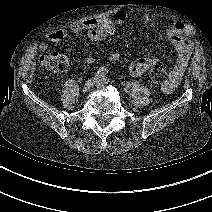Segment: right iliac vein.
Returning <instances> with one entry per match:
<instances>
[{
  "instance_id": "right-iliac-vein-1",
  "label": "right iliac vein",
  "mask_w": 212,
  "mask_h": 212,
  "mask_svg": "<svg viewBox=\"0 0 212 212\" xmlns=\"http://www.w3.org/2000/svg\"><path fill=\"white\" fill-rule=\"evenodd\" d=\"M98 80H99L98 77L89 79L83 87V92L87 93V92L91 91L92 88L94 87V85H96V83L98 82Z\"/></svg>"
}]
</instances>
